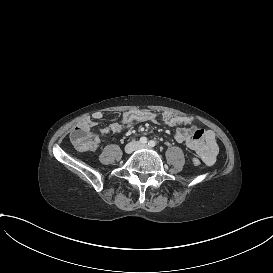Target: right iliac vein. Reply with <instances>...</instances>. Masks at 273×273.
<instances>
[{"mask_svg": "<svg viewBox=\"0 0 273 273\" xmlns=\"http://www.w3.org/2000/svg\"><path fill=\"white\" fill-rule=\"evenodd\" d=\"M139 147V143L136 141H133L131 143H129L126 147H125V151L127 153H132L135 149H137Z\"/></svg>", "mask_w": 273, "mask_h": 273, "instance_id": "1", "label": "right iliac vein"}]
</instances>
